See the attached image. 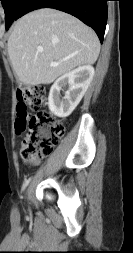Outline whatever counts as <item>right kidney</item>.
<instances>
[{"label": "right kidney", "instance_id": "ca27d5eb", "mask_svg": "<svg viewBox=\"0 0 133 253\" xmlns=\"http://www.w3.org/2000/svg\"><path fill=\"white\" fill-rule=\"evenodd\" d=\"M94 76V68L90 65L81 66L64 74L52 85L49 93V109L61 118L69 116L77 107ZM68 87L62 97L60 91Z\"/></svg>", "mask_w": 133, "mask_h": 253}]
</instances>
